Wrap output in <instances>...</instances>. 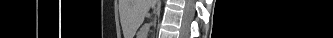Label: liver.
<instances>
[{
	"label": "liver",
	"instance_id": "1",
	"mask_svg": "<svg viewBox=\"0 0 333 38\" xmlns=\"http://www.w3.org/2000/svg\"><path fill=\"white\" fill-rule=\"evenodd\" d=\"M156 0H135V2L125 1L122 5V10L130 4L133 6V17L136 27H138L144 20L150 7L154 6Z\"/></svg>",
	"mask_w": 333,
	"mask_h": 38
}]
</instances>
